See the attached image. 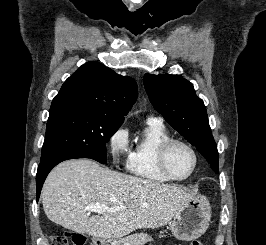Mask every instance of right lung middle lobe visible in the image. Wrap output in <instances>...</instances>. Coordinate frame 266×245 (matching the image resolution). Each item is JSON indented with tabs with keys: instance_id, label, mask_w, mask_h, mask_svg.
<instances>
[{
	"instance_id": "right-lung-middle-lobe-1",
	"label": "right lung middle lobe",
	"mask_w": 266,
	"mask_h": 245,
	"mask_svg": "<svg viewBox=\"0 0 266 245\" xmlns=\"http://www.w3.org/2000/svg\"><path fill=\"white\" fill-rule=\"evenodd\" d=\"M123 121L91 110H74L49 116L41 161L70 154L105 164L106 143Z\"/></svg>"
}]
</instances>
